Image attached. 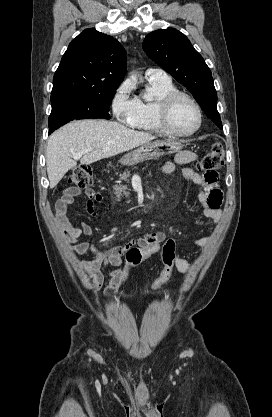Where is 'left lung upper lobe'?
<instances>
[{"label": "left lung upper lobe", "mask_w": 272, "mask_h": 417, "mask_svg": "<svg viewBox=\"0 0 272 417\" xmlns=\"http://www.w3.org/2000/svg\"><path fill=\"white\" fill-rule=\"evenodd\" d=\"M143 49L161 68L184 85L207 117L223 129L211 71L189 39L177 29H159L145 37Z\"/></svg>", "instance_id": "1"}]
</instances>
